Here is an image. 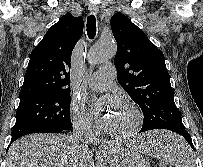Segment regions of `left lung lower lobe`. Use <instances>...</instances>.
Listing matches in <instances>:
<instances>
[{
  "mask_svg": "<svg viewBox=\"0 0 203 167\" xmlns=\"http://www.w3.org/2000/svg\"><path fill=\"white\" fill-rule=\"evenodd\" d=\"M144 131L145 130L141 129L140 132H144ZM171 131L183 136L186 139V141L190 144L192 149H194L193 144H192V139H191L189 133L185 129H172Z\"/></svg>",
  "mask_w": 203,
  "mask_h": 167,
  "instance_id": "1",
  "label": "left lung lower lobe"
}]
</instances>
